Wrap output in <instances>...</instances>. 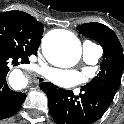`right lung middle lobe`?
<instances>
[{
	"mask_svg": "<svg viewBox=\"0 0 124 124\" xmlns=\"http://www.w3.org/2000/svg\"><path fill=\"white\" fill-rule=\"evenodd\" d=\"M43 24L34 18L24 19L8 11L0 14V50L27 57L36 54Z\"/></svg>",
	"mask_w": 124,
	"mask_h": 124,
	"instance_id": "right-lung-middle-lobe-1",
	"label": "right lung middle lobe"
}]
</instances>
